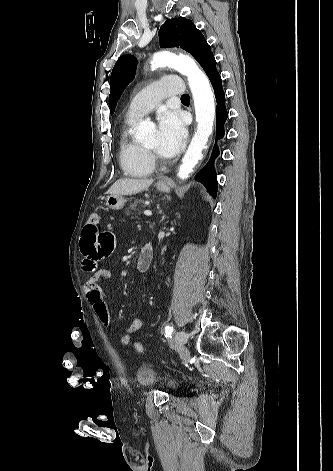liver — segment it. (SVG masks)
Returning <instances> with one entry per match:
<instances>
[{
    "mask_svg": "<svg viewBox=\"0 0 333 471\" xmlns=\"http://www.w3.org/2000/svg\"><path fill=\"white\" fill-rule=\"evenodd\" d=\"M153 179H118L107 191L109 194L132 195L147 189Z\"/></svg>",
    "mask_w": 333,
    "mask_h": 471,
    "instance_id": "liver-1",
    "label": "liver"
}]
</instances>
